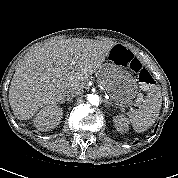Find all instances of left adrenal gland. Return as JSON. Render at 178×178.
<instances>
[{
    "label": "left adrenal gland",
    "mask_w": 178,
    "mask_h": 178,
    "mask_svg": "<svg viewBox=\"0 0 178 178\" xmlns=\"http://www.w3.org/2000/svg\"><path fill=\"white\" fill-rule=\"evenodd\" d=\"M105 102H106V104H107L108 107L114 106V104L112 102H109V101H105ZM115 105H117V104H115Z\"/></svg>",
    "instance_id": "left-adrenal-gland-1"
}]
</instances>
